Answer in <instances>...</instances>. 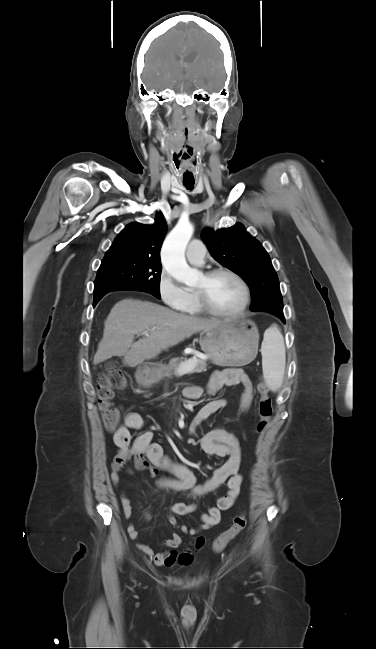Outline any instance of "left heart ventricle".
Segmentation results:
<instances>
[{"label": "left heart ventricle", "instance_id": "1", "mask_svg": "<svg viewBox=\"0 0 376 649\" xmlns=\"http://www.w3.org/2000/svg\"><path fill=\"white\" fill-rule=\"evenodd\" d=\"M198 288H203L211 305L221 311H234L243 300L241 286L227 274H219L209 280L202 276L196 285Z\"/></svg>", "mask_w": 376, "mask_h": 649}]
</instances>
